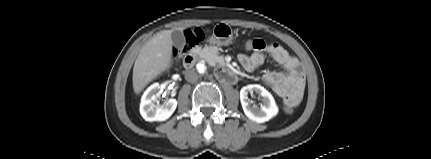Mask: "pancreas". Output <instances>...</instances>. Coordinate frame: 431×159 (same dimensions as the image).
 Masks as SVG:
<instances>
[{"mask_svg": "<svg viewBox=\"0 0 431 159\" xmlns=\"http://www.w3.org/2000/svg\"><path fill=\"white\" fill-rule=\"evenodd\" d=\"M218 50L213 47H204L199 49V55L205 59L209 64L216 65L223 61V57L218 55Z\"/></svg>", "mask_w": 431, "mask_h": 159, "instance_id": "pancreas-1", "label": "pancreas"}]
</instances>
